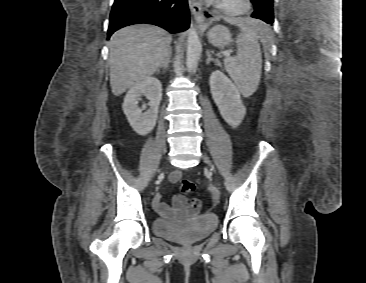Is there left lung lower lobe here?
Listing matches in <instances>:
<instances>
[{
  "label": "left lung lower lobe",
  "mask_w": 366,
  "mask_h": 283,
  "mask_svg": "<svg viewBox=\"0 0 366 283\" xmlns=\"http://www.w3.org/2000/svg\"><path fill=\"white\" fill-rule=\"evenodd\" d=\"M206 17H211V15L206 14ZM251 17H253V18H257L254 14H252V15H251Z\"/></svg>",
  "instance_id": "1"
}]
</instances>
